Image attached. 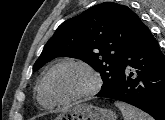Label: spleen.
Returning <instances> with one entry per match:
<instances>
[{"label":"spleen","mask_w":165,"mask_h":120,"mask_svg":"<svg viewBox=\"0 0 165 120\" xmlns=\"http://www.w3.org/2000/svg\"><path fill=\"white\" fill-rule=\"evenodd\" d=\"M115 105L122 112L124 120H153L151 116L129 104L115 102Z\"/></svg>","instance_id":"1"}]
</instances>
